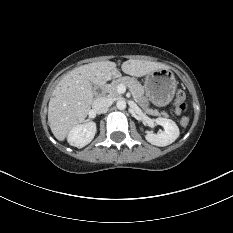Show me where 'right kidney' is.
<instances>
[{"label": "right kidney", "instance_id": "1", "mask_svg": "<svg viewBox=\"0 0 233 233\" xmlns=\"http://www.w3.org/2000/svg\"><path fill=\"white\" fill-rule=\"evenodd\" d=\"M96 133V124L93 121L79 124L74 127L68 134V143L77 148H83L88 145Z\"/></svg>", "mask_w": 233, "mask_h": 233}]
</instances>
